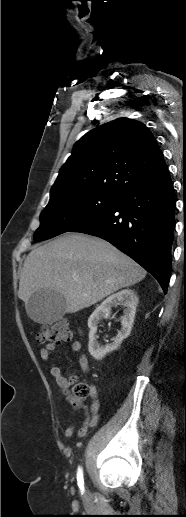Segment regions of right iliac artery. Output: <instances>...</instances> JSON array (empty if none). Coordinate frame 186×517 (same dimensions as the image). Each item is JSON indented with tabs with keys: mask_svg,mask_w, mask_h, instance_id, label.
<instances>
[{
	"mask_svg": "<svg viewBox=\"0 0 186 517\" xmlns=\"http://www.w3.org/2000/svg\"><path fill=\"white\" fill-rule=\"evenodd\" d=\"M77 481H78V485H79L80 489H83L84 478H83V470H82V467H78V471H77Z\"/></svg>",
	"mask_w": 186,
	"mask_h": 517,
	"instance_id": "1",
	"label": "right iliac artery"
}]
</instances>
